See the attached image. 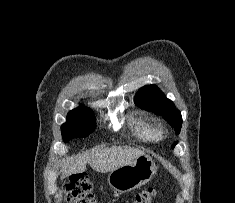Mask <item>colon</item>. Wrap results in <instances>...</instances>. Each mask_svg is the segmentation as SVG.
I'll use <instances>...</instances> for the list:
<instances>
[{
    "instance_id": "colon-1",
    "label": "colon",
    "mask_w": 235,
    "mask_h": 203,
    "mask_svg": "<svg viewBox=\"0 0 235 203\" xmlns=\"http://www.w3.org/2000/svg\"><path fill=\"white\" fill-rule=\"evenodd\" d=\"M64 191L67 203H97L92 192V184L84 174L70 176ZM155 196L156 190L149 187L137 193L130 203H153Z\"/></svg>"
}]
</instances>
